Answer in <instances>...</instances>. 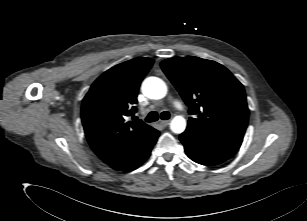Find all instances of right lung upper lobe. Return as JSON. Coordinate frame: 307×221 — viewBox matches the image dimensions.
Segmentation results:
<instances>
[{
    "label": "right lung upper lobe",
    "mask_w": 307,
    "mask_h": 221,
    "mask_svg": "<svg viewBox=\"0 0 307 221\" xmlns=\"http://www.w3.org/2000/svg\"><path fill=\"white\" fill-rule=\"evenodd\" d=\"M151 58H134L104 72L83 99L81 118L87 140L108 165L138 146L153 130L142 121H129L136 112L141 81Z\"/></svg>",
    "instance_id": "obj_1"
}]
</instances>
